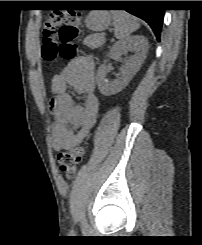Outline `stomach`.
<instances>
[{
	"label": "stomach",
	"mask_w": 202,
	"mask_h": 245,
	"mask_svg": "<svg viewBox=\"0 0 202 245\" xmlns=\"http://www.w3.org/2000/svg\"><path fill=\"white\" fill-rule=\"evenodd\" d=\"M110 23L111 15L105 10L91 11L85 19L87 28L93 31H103L108 28Z\"/></svg>",
	"instance_id": "stomach-1"
}]
</instances>
